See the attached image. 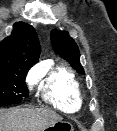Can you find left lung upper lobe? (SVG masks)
Returning <instances> with one entry per match:
<instances>
[{"instance_id":"left-lung-upper-lobe-1","label":"left lung upper lobe","mask_w":117,"mask_h":131,"mask_svg":"<svg viewBox=\"0 0 117 131\" xmlns=\"http://www.w3.org/2000/svg\"><path fill=\"white\" fill-rule=\"evenodd\" d=\"M51 41L54 51L66 59L81 74H85L80 64V51L75 41L66 31L52 30Z\"/></svg>"}]
</instances>
